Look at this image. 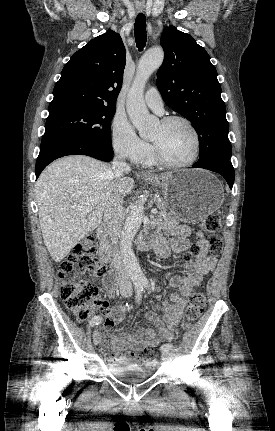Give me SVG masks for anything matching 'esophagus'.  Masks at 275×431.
Returning <instances> with one entry per match:
<instances>
[{
    "instance_id": "34e87169",
    "label": "esophagus",
    "mask_w": 275,
    "mask_h": 431,
    "mask_svg": "<svg viewBox=\"0 0 275 431\" xmlns=\"http://www.w3.org/2000/svg\"><path fill=\"white\" fill-rule=\"evenodd\" d=\"M139 11H143V9L142 8H139L138 9ZM143 175H146L147 173H142Z\"/></svg>"
}]
</instances>
